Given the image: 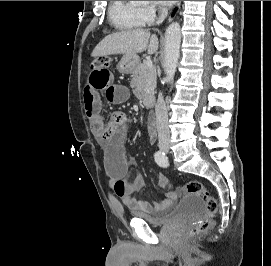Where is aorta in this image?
<instances>
[{"label":"aorta","instance_id":"aorta-1","mask_svg":"<svg viewBox=\"0 0 271 266\" xmlns=\"http://www.w3.org/2000/svg\"><path fill=\"white\" fill-rule=\"evenodd\" d=\"M141 2V1H137ZM181 28L179 23L172 22L165 32V61L166 81L171 83L176 73L180 56Z\"/></svg>","mask_w":271,"mask_h":266}]
</instances>
